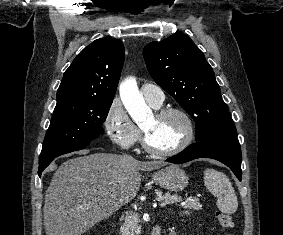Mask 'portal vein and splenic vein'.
Returning a JSON list of instances; mask_svg holds the SVG:
<instances>
[{"instance_id":"1","label":"portal vein and splenic vein","mask_w":283,"mask_h":235,"mask_svg":"<svg viewBox=\"0 0 283 235\" xmlns=\"http://www.w3.org/2000/svg\"><path fill=\"white\" fill-rule=\"evenodd\" d=\"M177 201H180L181 199L180 198H178V199H176ZM167 204V202H161L160 203V207H164L165 205Z\"/></svg>"}]
</instances>
